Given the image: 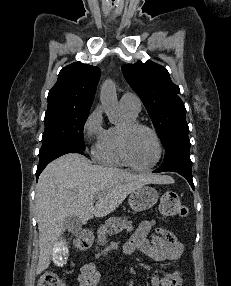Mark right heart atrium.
I'll use <instances>...</instances> for the list:
<instances>
[{"label":"right heart atrium","mask_w":231,"mask_h":286,"mask_svg":"<svg viewBox=\"0 0 231 286\" xmlns=\"http://www.w3.org/2000/svg\"><path fill=\"white\" fill-rule=\"evenodd\" d=\"M101 107H96L86 118L83 125V137L93 149L99 144L105 134Z\"/></svg>","instance_id":"1"}]
</instances>
